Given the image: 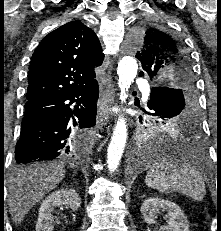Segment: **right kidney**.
Returning <instances> with one entry per match:
<instances>
[{
    "instance_id": "ca27d5eb",
    "label": "right kidney",
    "mask_w": 221,
    "mask_h": 231,
    "mask_svg": "<svg viewBox=\"0 0 221 231\" xmlns=\"http://www.w3.org/2000/svg\"><path fill=\"white\" fill-rule=\"evenodd\" d=\"M61 205L76 211L81 206V199L73 189L65 188L52 192L41 204L36 231H53V212Z\"/></svg>"
}]
</instances>
